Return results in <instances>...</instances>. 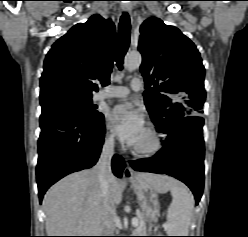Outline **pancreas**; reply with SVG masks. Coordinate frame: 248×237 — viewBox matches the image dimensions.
<instances>
[{"instance_id":"1","label":"pancreas","mask_w":248,"mask_h":237,"mask_svg":"<svg viewBox=\"0 0 248 237\" xmlns=\"http://www.w3.org/2000/svg\"><path fill=\"white\" fill-rule=\"evenodd\" d=\"M134 233H136L137 235H147V229H146V224H145V218L144 215H142L139 218V225L136 227V229L134 230Z\"/></svg>"}]
</instances>
